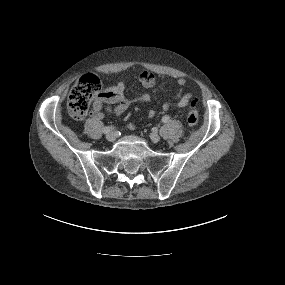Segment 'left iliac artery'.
<instances>
[{
  "mask_svg": "<svg viewBox=\"0 0 285 285\" xmlns=\"http://www.w3.org/2000/svg\"><path fill=\"white\" fill-rule=\"evenodd\" d=\"M169 119H170V117L168 115H165V116L162 117V122L166 123V122L169 121Z\"/></svg>",
  "mask_w": 285,
  "mask_h": 285,
  "instance_id": "1",
  "label": "left iliac artery"
}]
</instances>
